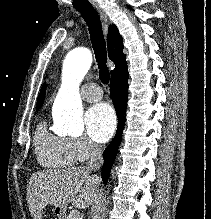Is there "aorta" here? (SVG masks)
Instances as JSON below:
<instances>
[{
  "label": "aorta",
  "mask_w": 211,
  "mask_h": 219,
  "mask_svg": "<svg viewBox=\"0 0 211 219\" xmlns=\"http://www.w3.org/2000/svg\"><path fill=\"white\" fill-rule=\"evenodd\" d=\"M91 63L92 54L83 47L68 52L63 62L62 86L54 103V115L62 126L60 132L69 136H80L84 130L79 84Z\"/></svg>",
  "instance_id": "762f6f07"
}]
</instances>
